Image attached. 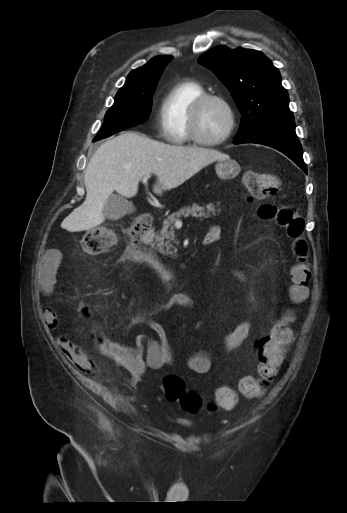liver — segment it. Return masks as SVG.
Instances as JSON below:
<instances>
[{
    "label": "liver",
    "mask_w": 347,
    "mask_h": 513,
    "mask_svg": "<svg viewBox=\"0 0 347 513\" xmlns=\"http://www.w3.org/2000/svg\"><path fill=\"white\" fill-rule=\"evenodd\" d=\"M229 156L211 148L175 146L137 132H123L102 144L87 165L84 175L86 199L61 223L69 232L90 230L105 221L104 204L116 191L131 198L146 175L154 173L161 188L156 194L183 184L201 169Z\"/></svg>",
    "instance_id": "liver-1"
}]
</instances>
